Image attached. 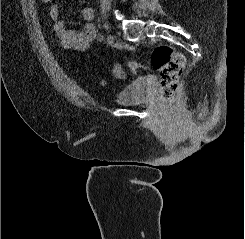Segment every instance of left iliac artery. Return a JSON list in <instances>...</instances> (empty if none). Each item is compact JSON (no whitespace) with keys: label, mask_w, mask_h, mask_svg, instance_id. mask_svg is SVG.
<instances>
[{"label":"left iliac artery","mask_w":245,"mask_h":239,"mask_svg":"<svg viewBox=\"0 0 245 239\" xmlns=\"http://www.w3.org/2000/svg\"><path fill=\"white\" fill-rule=\"evenodd\" d=\"M104 40L103 34H99V41L102 42Z\"/></svg>","instance_id":"44dca946"}]
</instances>
